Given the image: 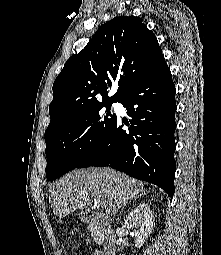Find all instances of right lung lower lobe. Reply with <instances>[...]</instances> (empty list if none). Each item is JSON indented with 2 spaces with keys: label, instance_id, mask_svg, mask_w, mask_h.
<instances>
[{
  "label": "right lung lower lobe",
  "instance_id": "obj_1",
  "mask_svg": "<svg viewBox=\"0 0 221 255\" xmlns=\"http://www.w3.org/2000/svg\"><path fill=\"white\" fill-rule=\"evenodd\" d=\"M131 117L129 130L116 119L76 167L110 166L174 194L175 85L164 56L119 100Z\"/></svg>",
  "mask_w": 221,
  "mask_h": 255
}]
</instances>
